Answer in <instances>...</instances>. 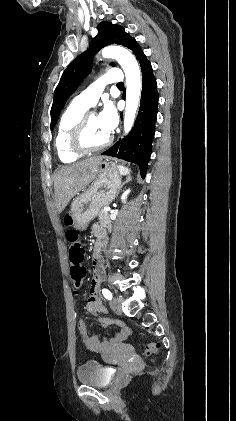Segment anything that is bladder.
Segmentation results:
<instances>
[{"label":"bladder","instance_id":"obj_1","mask_svg":"<svg viewBox=\"0 0 236 421\" xmlns=\"http://www.w3.org/2000/svg\"><path fill=\"white\" fill-rule=\"evenodd\" d=\"M77 382L94 387L106 386L109 381L105 379L104 372L101 370L98 361L91 359L85 361L77 370Z\"/></svg>","mask_w":236,"mask_h":421}]
</instances>
